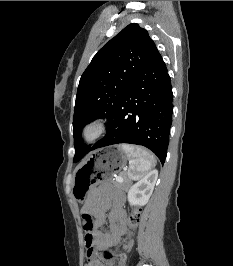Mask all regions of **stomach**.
I'll return each mask as SVG.
<instances>
[{
  "label": "stomach",
  "instance_id": "obj_1",
  "mask_svg": "<svg viewBox=\"0 0 233 266\" xmlns=\"http://www.w3.org/2000/svg\"><path fill=\"white\" fill-rule=\"evenodd\" d=\"M126 160L127 155L120 146L95 147V152H89L87 161H82L75 171L73 196L82 202L93 185H102V180H113V176H118Z\"/></svg>",
  "mask_w": 233,
  "mask_h": 266
}]
</instances>
